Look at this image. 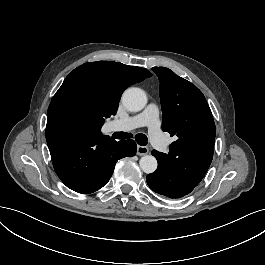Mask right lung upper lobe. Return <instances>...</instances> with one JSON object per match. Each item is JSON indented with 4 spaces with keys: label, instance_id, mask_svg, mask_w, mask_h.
<instances>
[{
    "label": "right lung upper lobe",
    "instance_id": "obj_1",
    "mask_svg": "<svg viewBox=\"0 0 265 265\" xmlns=\"http://www.w3.org/2000/svg\"><path fill=\"white\" fill-rule=\"evenodd\" d=\"M151 76L144 68L127 66L120 62H90L74 69L59 90L74 83L84 84L96 92L111 109L112 115H115L123 91L131 84Z\"/></svg>",
    "mask_w": 265,
    "mask_h": 265
}]
</instances>
